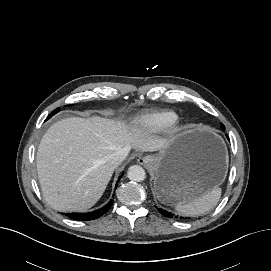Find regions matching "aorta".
Listing matches in <instances>:
<instances>
[{
	"instance_id": "aorta-1",
	"label": "aorta",
	"mask_w": 271,
	"mask_h": 271,
	"mask_svg": "<svg viewBox=\"0 0 271 271\" xmlns=\"http://www.w3.org/2000/svg\"><path fill=\"white\" fill-rule=\"evenodd\" d=\"M127 176L131 181L142 182L146 178V172L141 166L132 165L127 171Z\"/></svg>"
}]
</instances>
